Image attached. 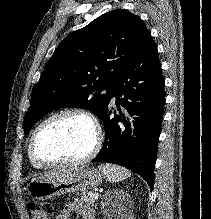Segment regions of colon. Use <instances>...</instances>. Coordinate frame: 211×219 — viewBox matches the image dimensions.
<instances>
[{"mask_svg":"<svg viewBox=\"0 0 211 219\" xmlns=\"http://www.w3.org/2000/svg\"><path fill=\"white\" fill-rule=\"evenodd\" d=\"M28 211L32 219H52L53 207L48 203L30 202Z\"/></svg>","mask_w":211,"mask_h":219,"instance_id":"1","label":"colon"}]
</instances>
